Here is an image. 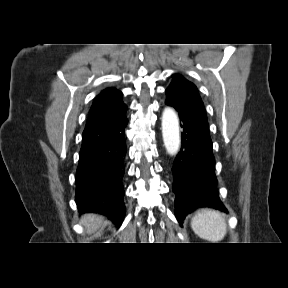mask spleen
<instances>
[{"instance_id": "spleen-1", "label": "spleen", "mask_w": 288, "mask_h": 288, "mask_svg": "<svg viewBox=\"0 0 288 288\" xmlns=\"http://www.w3.org/2000/svg\"><path fill=\"white\" fill-rule=\"evenodd\" d=\"M191 227L200 238L220 241L227 233L226 222L222 214L211 209L199 211L191 220Z\"/></svg>"}]
</instances>
